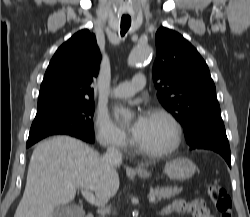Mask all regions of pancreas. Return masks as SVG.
<instances>
[{
	"mask_svg": "<svg viewBox=\"0 0 250 217\" xmlns=\"http://www.w3.org/2000/svg\"><path fill=\"white\" fill-rule=\"evenodd\" d=\"M182 191V188L175 187H164V188H154L150 190V196L157 197L158 201L170 199Z\"/></svg>",
	"mask_w": 250,
	"mask_h": 217,
	"instance_id": "cf45deb5",
	"label": "pancreas"
}]
</instances>
